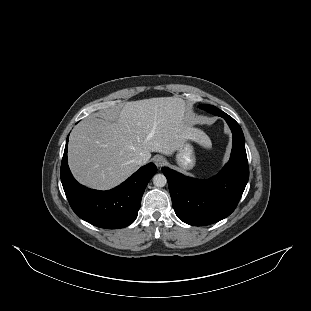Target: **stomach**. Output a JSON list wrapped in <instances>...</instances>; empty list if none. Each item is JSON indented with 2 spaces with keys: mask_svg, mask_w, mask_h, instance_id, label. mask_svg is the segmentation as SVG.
<instances>
[{
  "mask_svg": "<svg viewBox=\"0 0 311 311\" xmlns=\"http://www.w3.org/2000/svg\"><path fill=\"white\" fill-rule=\"evenodd\" d=\"M177 162L181 170H186L193 167L195 157L193 154V148L189 143H186L178 150Z\"/></svg>",
  "mask_w": 311,
  "mask_h": 311,
  "instance_id": "1",
  "label": "stomach"
}]
</instances>
